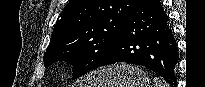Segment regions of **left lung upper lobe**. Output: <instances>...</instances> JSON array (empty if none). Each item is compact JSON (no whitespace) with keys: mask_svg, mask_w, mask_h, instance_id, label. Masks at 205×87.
<instances>
[{"mask_svg":"<svg viewBox=\"0 0 205 87\" xmlns=\"http://www.w3.org/2000/svg\"><path fill=\"white\" fill-rule=\"evenodd\" d=\"M136 0H71L44 54L45 66L66 61L78 78L100 67L112 52Z\"/></svg>","mask_w":205,"mask_h":87,"instance_id":"left-lung-upper-lobe-1","label":"left lung upper lobe"}]
</instances>
